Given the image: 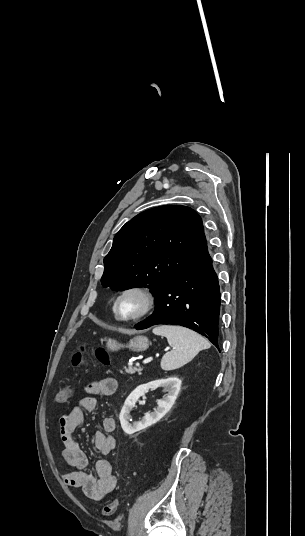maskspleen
I'll return each mask as SVG.
<instances>
[{
    "instance_id": "spleen-1",
    "label": "spleen",
    "mask_w": 305,
    "mask_h": 536,
    "mask_svg": "<svg viewBox=\"0 0 305 536\" xmlns=\"http://www.w3.org/2000/svg\"><path fill=\"white\" fill-rule=\"evenodd\" d=\"M153 334L165 336L169 346L173 348L172 352L164 354L161 360V368L165 372L182 368L191 362L200 350H208L211 346L206 338L182 326H157Z\"/></svg>"
}]
</instances>
